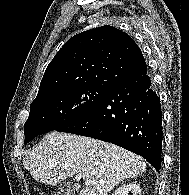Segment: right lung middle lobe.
<instances>
[{"instance_id": "dd1d6c3e", "label": "right lung middle lobe", "mask_w": 189, "mask_h": 195, "mask_svg": "<svg viewBox=\"0 0 189 195\" xmlns=\"http://www.w3.org/2000/svg\"><path fill=\"white\" fill-rule=\"evenodd\" d=\"M108 92L109 89L101 87H73L37 97L24 125V143L79 118Z\"/></svg>"}]
</instances>
